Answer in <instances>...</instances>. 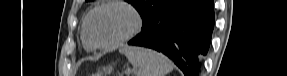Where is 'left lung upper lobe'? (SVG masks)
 <instances>
[{
    "label": "left lung upper lobe",
    "instance_id": "obj_1",
    "mask_svg": "<svg viewBox=\"0 0 287 76\" xmlns=\"http://www.w3.org/2000/svg\"><path fill=\"white\" fill-rule=\"evenodd\" d=\"M92 1V0H86ZM132 4L140 13L143 19V25L149 20V18L157 12L164 9L173 0H125Z\"/></svg>",
    "mask_w": 287,
    "mask_h": 76
}]
</instances>
